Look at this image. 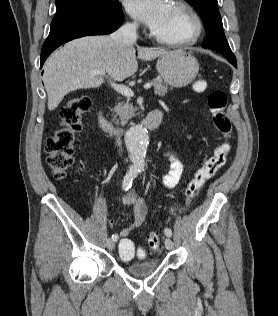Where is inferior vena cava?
Returning <instances> with one entry per match:
<instances>
[{
  "mask_svg": "<svg viewBox=\"0 0 278 316\" xmlns=\"http://www.w3.org/2000/svg\"><path fill=\"white\" fill-rule=\"evenodd\" d=\"M111 38L120 49L124 46L133 45L137 41L136 23H126L115 31L111 35ZM116 143L121 148V140L119 137L116 139Z\"/></svg>",
  "mask_w": 278,
  "mask_h": 316,
  "instance_id": "1",
  "label": "inferior vena cava"
}]
</instances>
